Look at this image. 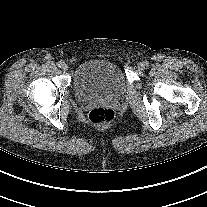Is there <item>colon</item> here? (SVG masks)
Listing matches in <instances>:
<instances>
[{
	"mask_svg": "<svg viewBox=\"0 0 207 207\" xmlns=\"http://www.w3.org/2000/svg\"><path fill=\"white\" fill-rule=\"evenodd\" d=\"M115 118V112L112 108L100 106L92 109L89 113V120L96 126H107Z\"/></svg>",
	"mask_w": 207,
	"mask_h": 207,
	"instance_id": "colon-1",
	"label": "colon"
}]
</instances>
